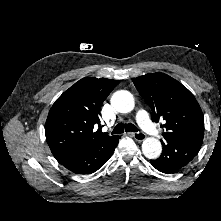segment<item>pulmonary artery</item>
<instances>
[{"instance_id": "pulmonary-artery-1", "label": "pulmonary artery", "mask_w": 221, "mask_h": 221, "mask_svg": "<svg viewBox=\"0 0 221 221\" xmlns=\"http://www.w3.org/2000/svg\"><path fill=\"white\" fill-rule=\"evenodd\" d=\"M136 121L138 125L143 129V131H145L149 135H152L154 137L159 136V131L155 128L154 124L150 121L147 113L144 110L140 109L137 111Z\"/></svg>"}]
</instances>
